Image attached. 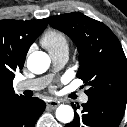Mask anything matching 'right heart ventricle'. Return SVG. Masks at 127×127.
<instances>
[{
  "instance_id": "right-heart-ventricle-1",
  "label": "right heart ventricle",
  "mask_w": 127,
  "mask_h": 127,
  "mask_svg": "<svg viewBox=\"0 0 127 127\" xmlns=\"http://www.w3.org/2000/svg\"><path fill=\"white\" fill-rule=\"evenodd\" d=\"M41 43L51 55L68 51L69 48L66 34L57 29H48L41 37Z\"/></svg>"
}]
</instances>
